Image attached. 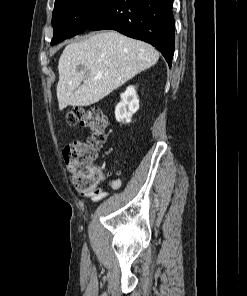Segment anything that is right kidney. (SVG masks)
Instances as JSON below:
<instances>
[{"label": "right kidney", "instance_id": "right-kidney-1", "mask_svg": "<svg viewBox=\"0 0 247 296\" xmlns=\"http://www.w3.org/2000/svg\"><path fill=\"white\" fill-rule=\"evenodd\" d=\"M139 109V99L134 86L127 87L121 94V101L115 108V117L118 122H131L132 115Z\"/></svg>", "mask_w": 247, "mask_h": 296}]
</instances>
